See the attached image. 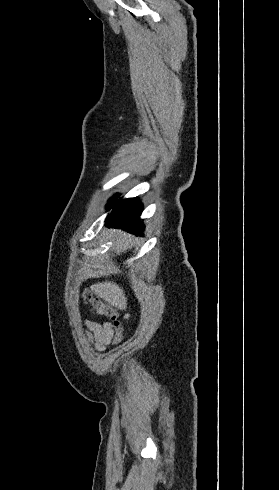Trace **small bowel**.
Listing matches in <instances>:
<instances>
[{
    "instance_id": "c3829d8e",
    "label": "small bowel",
    "mask_w": 279,
    "mask_h": 490,
    "mask_svg": "<svg viewBox=\"0 0 279 490\" xmlns=\"http://www.w3.org/2000/svg\"><path fill=\"white\" fill-rule=\"evenodd\" d=\"M85 336L88 342L92 343L96 349L103 351L111 344L114 339L113 325L104 321L102 323L87 319L85 321Z\"/></svg>"
}]
</instances>
